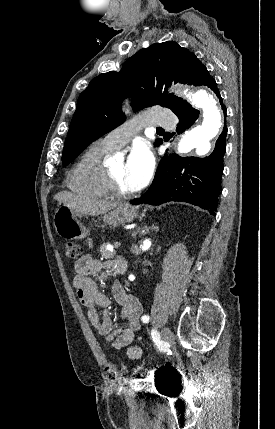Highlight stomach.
Listing matches in <instances>:
<instances>
[{"instance_id":"1","label":"stomach","mask_w":275,"mask_h":429,"mask_svg":"<svg viewBox=\"0 0 275 429\" xmlns=\"http://www.w3.org/2000/svg\"><path fill=\"white\" fill-rule=\"evenodd\" d=\"M138 216L137 208L130 204H121L102 216V220L109 226L133 221ZM82 214L74 212L69 207L60 206L53 217V224L57 234L65 239H83L89 235L87 229L79 220Z\"/></svg>"}]
</instances>
